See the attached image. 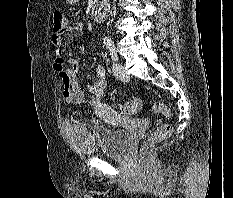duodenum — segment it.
<instances>
[{"instance_id":"1","label":"duodenum","mask_w":233,"mask_h":198,"mask_svg":"<svg viewBox=\"0 0 233 198\" xmlns=\"http://www.w3.org/2000/svg\"><path fill=\"white\" fill-rule=\"evenodd\" d=\"M109 11V2L108 0H102L94 13V21L97 23L103 22Z\"/></svg>"}]
</instances>
